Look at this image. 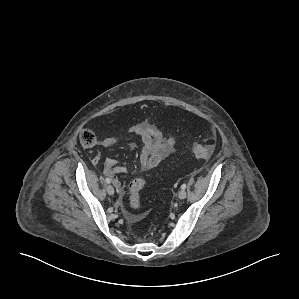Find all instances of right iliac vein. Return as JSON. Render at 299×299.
<instances>
[{
    "label": "right iliac vein",
    "mask_w": 299,
    "mask_h": 299,
    "mask_svg": "<svg viewBox=\"0 0 299 299\" xmlns=\"http://www.w3.org/2000/svg\"><path fill=\"white\" fill-rule=\"evenodd\" d=\"M106 190H107V193H108L109 195H113V194H114V188H113L112 185H108V186L106 187Z\"/></svg>",
    "instance_id": "obj_1"
}]
</instances>
